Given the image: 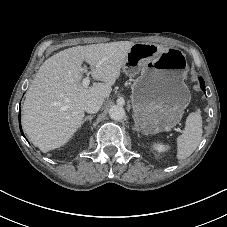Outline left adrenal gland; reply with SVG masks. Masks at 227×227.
Masks as SVG:
<instances>
[{
  "label": "left adrenal gland",
  "instance_id": "a2214340",
  "mask_svg": "<svg viewBox=\"0 0 227 227\" xmlns=\"http://www.w3.org/2000/svg\"><path fill=\"white\" fill-rule=\"evenodd\" d=\"M134 130L137 131V133L139 132V128L137 127L136 124H135Z\"/></svg>",
  "mask_w": 227,
  "mask_h": 227
}]
</instances>
